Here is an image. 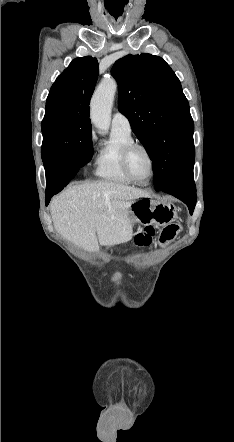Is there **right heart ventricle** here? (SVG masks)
<instances>
[{"mask_svg": "<svg viewBox=\"0 0 234 442\" xmlns=\"http://www.w3.org/2000/svg\"><path fill=\"white\" fill-rule=\"evenodd\" d=\"M131 132L112 129L110 139L103 144L95 162V175L102 180L131 184L133 181L125 174L121 156L123 148L133 142Z\"/></svg>", "mask_w": 234, "mask_h": 442, "instance_id": "right-heart-ventricle-1", "label": "right heart ventricle"}]
</instances>
